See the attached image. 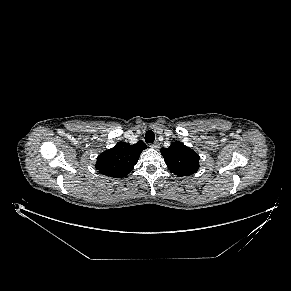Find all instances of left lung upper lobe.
<instances>
[{
    "label": "left lung upper lobe",
    "instance_id": "left-lung-upper-lobe-1",
    "mask_svg": "<svg viewBox=\"0 0 291 291\" xmlns=\"http://www.w3.org/2000/svg\"><path fill=\"white\" fill-rule=\"evenodd\" d=\"M161 154L169 170L175 175H191L199 168V155L179 141L173 142L169 148H162Z\"/></svg>",
    "mask_w": 291,
    "mask_h": 291
}]
</instances>
